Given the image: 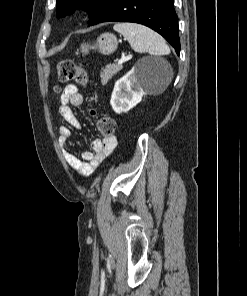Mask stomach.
<instances>
[{
    "instance_id": "1",
    "label": "stomach",
    "mask_w": 247,
    "mask_h": 296,
    "mask_svg": "<svg viewBox=\"0 0 247 296\" xmlns=\"http://www.w3.org/2000/svg\"><path fill=\"white\" fill-rule=\"evenodd\" d=\"M118 42L115 35L111 33H103L98 38L94 45L82 44L81 51L83 54H88L89 49H98L104 55H110L117 49Z\"/></svg>"
}]
</instances>
